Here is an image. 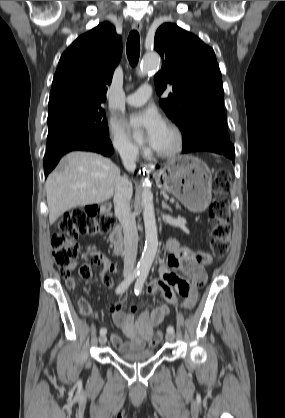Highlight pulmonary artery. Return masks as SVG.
<instances>
[{
    "instance_id": "obj_1",
    "label": "pulmonary artery",
    "mask_w": 285,
    "mask_h": 418,
    "mask_svg": "<svg viewBox=\"0 0 285 418\" xmlns=\"http://www.w3.org/2000/svg\"><path fill=\"white\" fill-rule=\"evenodd\" d=\"M151 94V88L147 85H142L137 92L128 95L125 102L130 106H140L151 97Z\"/></svg>"
}]
</instances>
